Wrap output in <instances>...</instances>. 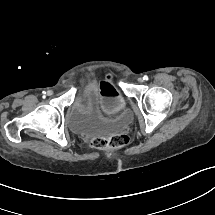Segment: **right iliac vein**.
<instances>
[{
    "label": "right iliac vein",
    "instance_id": "obj_1",
    "mask_svg": "<svg viewBox=\"0 0 215 215\" xmlns=\"http://www.w3.org/2000/svg\"><path fill=\"white\" fill-rule=\"evenodd\" d=\"M53 94L52 90L47 91V95L51 96Z\"/></svg>",
    "mask_w": 215,
    "mask_h": 215
}]
</instances>
